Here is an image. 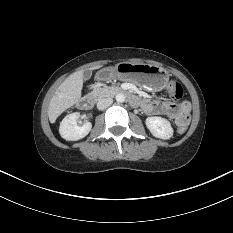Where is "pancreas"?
<instances>
[{
  "mask_svg": "<svg viewBox=\"0 0 233 233\" xmlns=\"http://www.w3.org/2000/svg\"><path fill=\"white\" fill-rule=\"evenodd\" d=\"M119 90H120L119 87H103V88L97 87L91 92V94L95 97L101 98L106 96H112Z\"/></svg>",
  "mask_w": 233,
  "mask_h": 233,
  "instance_id": "obj_1",
  "label": "pancreas"
}]
</instances>
